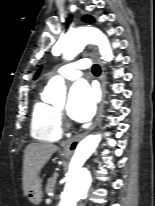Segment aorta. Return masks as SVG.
I'll return each instance as SVG.
<instances>
[{"mask_svg": "<svg viewBox=\"0 0 155 206\" xmlns=\"http://www.w3.org/2000/svg\"><path fill=\"white\" fill-rule=\"evenodd\" d=\"M87 44L97 45L102 59L106 62L113 60L114 56L107 37L92 27H79L67 34L63 47L64 59H74ZM45 94L49 102L59 103L62 101L65 95L63 77H53L48 82ZM100 141L99 134H92L78 144L69 165L67 182L58 206H76L78 201L87 195L91 179L89 171L83 168V164L95 151Z\"/></svg>", "mask_w": 155, "mask_h": 206, "instance_id": "obj_1", "label": "aorta"}]
</instances>
